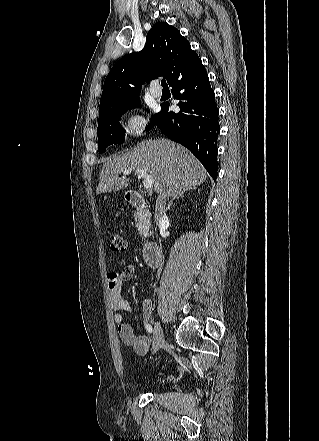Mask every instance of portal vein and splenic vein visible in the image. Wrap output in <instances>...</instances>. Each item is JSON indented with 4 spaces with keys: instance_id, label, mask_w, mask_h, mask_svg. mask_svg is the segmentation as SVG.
I'll list each match as a JSON object with an SVG mask.
<instances>
[{
    "instance_id": "obj_1",
    "label": "portal vein and splenic vein",
    "mask_w": 319,
    "mask_h": 441,
    "mask_svg": "<svg viewBox=\"0 0 319 441\" xmlns=\"http://www.w3.org/2000/svg\"><path fill=\"white\" fill-rule=\"evenodd\" d=\"M132 171H135V173L139 174V176L144 179L143 186L145 189H151L153 187V176L149 174L145 169H126L123 170L122 173L126 175L131 173Z\"/></svg>"
}]
</instances>
